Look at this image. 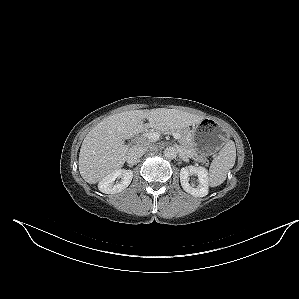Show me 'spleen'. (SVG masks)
Here are the masks:
<instances>
[{"label":"spleen","instance_id":"3e777b00","mask_svg":"<svg viewBox=\"0 0 299 299\" xmlns=\"http://www.w3.org/2000/svg\"><path fill=\"white\" fill-rule=\"evenodd\" d=\"M236 160L235 143L230 140L218 153L209 169V185L216 187L221 185L227 177V173L233 168Z\"/></svg>","mask_w":299,"mask_h":299}]
</instances>
